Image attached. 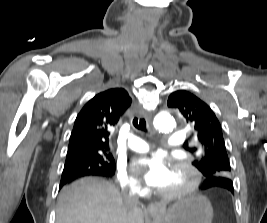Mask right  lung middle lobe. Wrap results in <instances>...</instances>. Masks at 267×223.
Wrapping results in <instances>:
<instances>
[{"label": "right lung middle lobe", "mask_w": 267, "mask_h": 223, "mask_svg": "<svg viewBox=\"0 0 267 223\" xmlns=\"http://www.w3.org/2000/svg\"><path fill=\"white\" fill-rule=\"evenodd\" d=\"M63 171L111 176L115 171V161L111 152L88 151L84 155L67 157Z\"/></svg>", "instance_id": "dd1d6c3e"}]
</instances>
